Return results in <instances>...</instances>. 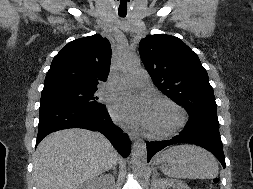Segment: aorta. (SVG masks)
<instances>
[{"label":"aorta","instance_id":"762f6f07","mask_svg":"<svg viewBox=\"0 0 253 189\" xmlns=\"http://www.w3.org/2000/svg\"><path fill=\"white\" fill-rule=\"evenodd\" d=\"M140 64V60L138 57H130L126 56L121 64L122 69H134L137 68ZM131 160H132V168L135 172L142 173L147 168V149L146 144L138 140L132 146L131 152Z\"/></svg>","mask_w":253,"mask_h":189}]
</instances>
